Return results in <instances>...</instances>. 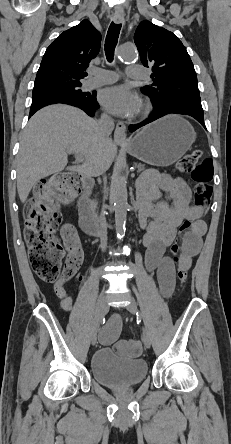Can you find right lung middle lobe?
Listing matches in <instances>:
<instances>
[{"label":"right lung middle lobe","instance_id":"1","mask_svg":"<svg viewBox=\"0 0 231 444\" xmlns=\"http://www.w3.org/2000/svg\"><path fill=\"white\" fill-rule=\"evenodd\" d=\"M80 87L81 83H59L44 88L33 89L32 100L47 96L65 97L74 100H89L94 97V94L82 92Z\"/></svg>","mask_w":231,"mask_h":444}]
</instances>
